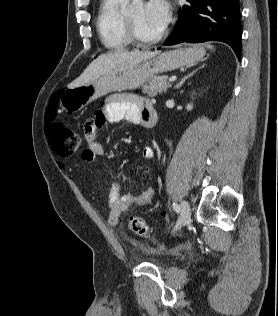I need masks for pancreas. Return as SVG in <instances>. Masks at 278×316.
I'll use <instances>...</instances> for the list:
<instances>
[{"instance_id": "obj_1", "label": "pancreas", "mask_w": 278, "mask_h": 316, "mask_svg": "<svg viewBox=\"0 0 278 316\" xmlns=\"http://www.w3.org/2000/svg\"><path fill=\"white\" fill-rule=\"evenodd\" d=\"M169 87H171V84L167 82L166 77H157L149 80V83L143 86L142 92L150 97H155L166 92Z\"/></svg>"}]
</instances>
